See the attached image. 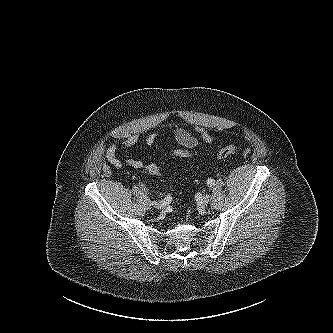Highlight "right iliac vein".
I'll return each instance as SVG.
<instances>
[{
  "mask_svg": "<svg viewBox=\"0 0 333 333\" xmlns=\"http://www.w3.org/2000/svg\"><path fill=\"white\" fill-rule=\"evenodd\" d=\"M152 205L157 209H164L166 207L163 201H152Z\"/></svg>",
  "mask_w": 333,
  "mask_h": 333,
  "instance_id": "63e3f726",
  "label": "right iliac vein"
}]
</instances>
